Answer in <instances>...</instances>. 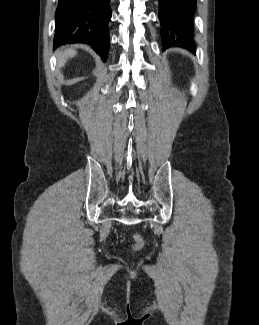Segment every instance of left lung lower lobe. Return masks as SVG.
<instances>
[{
  "label": "left lung lower lobe",
  "instance_id": "1",
  "mask_svg": "<svg viewBox=\"0 0 259 325\" xmlns=\"http://www.w3.org/2000/svg\"><path fill=\"white\" fill-rule=\"evenodd\" d=\"M161 30L164 47L183 46L194 48V14L196 0H158Z\"/></svg>",
  "mask_w": 259,
  "mask_h": 325
}]
</instances>
